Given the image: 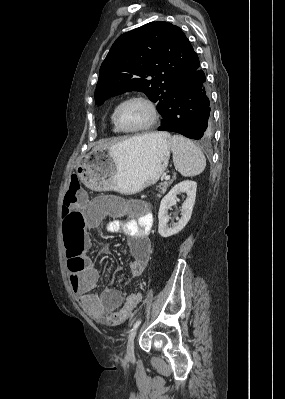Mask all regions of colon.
<instances>
[{
	"label": "colon",
	"instance_id": "5ec220e1",
	"mask_svg": "<svg viewBox=\"0 0 285 399\" xmlns=\"http://www.w3.org/2000/svg\"><path fill=\"white\" fill-rule=\"evenodd\" d=\"M82 186L78 179L73 178L70 181L67 194L63 204L64 223L69 228L65 232V242L68 255V269L71 273L76 274L86 266V258L88 253L83 244L79 243L73 233V229L81 222L80 215L77 213L81 200ZM132 311V305L127 303L114 316L115 320L126 319Z\"/></svg>",
	"mask_w": 285,
	"mask_h": 399
}]
</instances>
